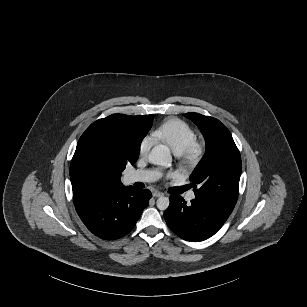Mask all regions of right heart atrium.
Wrapping results in <instances>:
<instances>
[{"label": "right heart atrium", "mask_w": 307, "mask_h": 307, "mask_svg": "<svg viewBox=\"0 0 307 307\" xmlns=\"http://www.w3.org/2000/svg\"><path fill=\"white\" fill-rule=\"evenodd\" d=\"M154 145V139L151 137H146L142 140L140 147H139V155L140 156H145L149 150L153 147Z\"/></svg>", "instance_id": "1"}]
</instances>
